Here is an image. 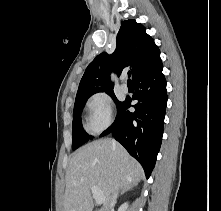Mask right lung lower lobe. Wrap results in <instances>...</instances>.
I'll return each mask as SVG.
<instances>
[{"label":"right lung lower lobe","instance_id":"right-lung-lower-lobe-1","mask_svg":"<svg viewBox=\"0 0 221 211\" xmlns=\"http://www.w3.org/2000/svg\"><path fill=\"white\" fill-rule=\"evenodd\" d=\"M162 63L138 75L133 81L136 92L133 100L135 112L127 109L131 99H126L117 109L114 123L101 136L112 133L131 156L143 166L146 177L151 175L160 150L165 109L167 104L166 80Z\"/></svg>","mask_w":221,"mask_h":211}]
</instances>
